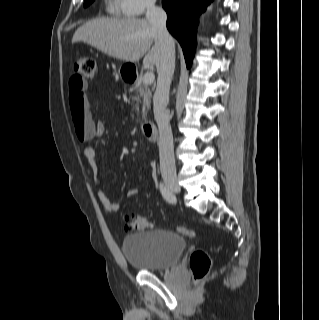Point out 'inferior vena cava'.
Returning <instances> with one entry per match:
<instances>
[{
    "mask_svg": "<svg viewBox=\"0 0 319 320\" xmlns=\"http://www.w3.org/2000/svg\"><path fill=\"white\" fill-rule=\"evenodd\" d=\"M146 19L156 30L162 46L161 63L157 68V87L153 96L154 118L159 128L160 170L163 176H176L173 136L170 119L166 112L171 79L175 69V45L166 28V12L161 7L155 6V0H152L147 6Z\"/></svg>",
    "mask_w": 319,
    "mask_h": 320,
    "instance_id": "obj_1",
    "label": "inferior vena cava"
}]
</instances>
